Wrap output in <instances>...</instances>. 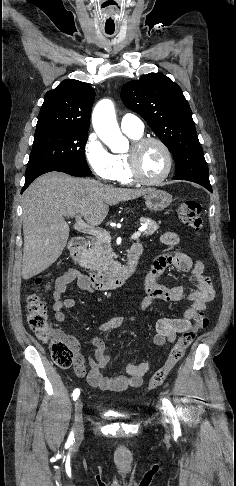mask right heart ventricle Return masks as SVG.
<instances>
[{"label": "right heart ventricle", "instance_id": "right-heart-ventricle-1", "mask_svg": "<svg viewBox=\"0 0 236 486\" xmlns=\"http://www.w3.org/2000/svg\"><path fill=\"white\" fill-rule=\"evenodd\" d=\"M126 134L134 141L142 137V134L141 135H135L130 133H126ZM113 156H114V162L116 167L114 181L124 185L133 184L134 181L130 176L126 154H115Z\"/></svg>", "mask_w": 236, "mask_h": 486}]
</instances>
